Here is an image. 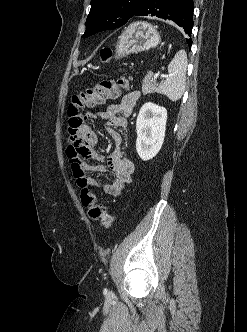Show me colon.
<instances>
[{
    "label": "colon",
    "instance_id": "obj_1",
    "mask_svg": "<svg viewBox=\"0 0 247 332\" xmlns=\"http://www.w3.org/2000/svg\"><path fill=\"white\" fill-rule=\"evenodd\" d=\"M111 56L108 48L101 51V58L107 61ZM130 86L129 78H122L118 81H102L91 87L74 93L68 105L69 133L75 134L84 124L85 109L95 107L108 99L117 98L122 90ZM81 201L88 208V214L93 220H98L104 229H109L113 223L110 215L103 204L97 202L95 192L85 188L81 192Z\"/></svg>",
    "mask_w": 247,
    "mask_h": 332
}]
</instances>
